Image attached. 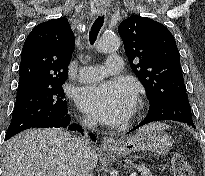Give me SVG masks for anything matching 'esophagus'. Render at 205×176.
Instances as JSON below:
<instances>
[{
    "instance_id": "obj_1",
    "label": "esophagus",
    "mask_w": 205,
    "mask_h": 176,
    "mask_svg": "<svg viewBox=\"0 0 205 176\" xmlns=\"http://www.w3.org/2000/svg\"><path fill=\"white\" fill-rule=\"evenodd\" d=\"M104 9H100L99 10V14L104 13ZM101 145L103 148H110V147H114L117 145V142L114 140L113 137L111 136H105L103 137V139L101 140Z\"/></svg>"
}]
</instances>
